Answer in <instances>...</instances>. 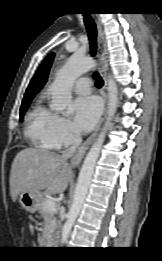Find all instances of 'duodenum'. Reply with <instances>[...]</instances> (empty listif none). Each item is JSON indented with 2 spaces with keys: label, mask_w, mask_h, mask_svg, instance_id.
<instances>
[{
  "label": "duodenum",
  "mask_w": 162,
  "mask_h": 261,
  "mask_svg": "<svg viewBox=\"0 0 162 261\" xmlns=\"http://www.w3.org/2000/svg\"><path fill=\"white\" fill-rule=\"evenodd\" d=\"M55 242H56V238H55L53 235L48 236V238H47V244H48L49 246L55 245Z\"/></svg>",
  "instance_id": "1"
}]
</instances>
